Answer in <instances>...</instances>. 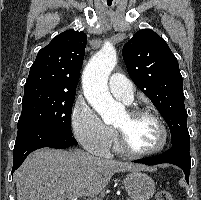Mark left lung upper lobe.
<instances>
[{"instance_id":"5c2ea615","label":"left lung upper lobe","mask_w":201,"mask_h":200,"mask_svg":"<svg viewBox=\"0 0 201 200\" xmlns=\"http://www.w3.org/2000/svg\"><path fill=\"white\" fill-rule=\"evenodd\" d=\"M122 55L133 82L166 120L172 145L189 140L182 75L166 41L142 29L123 46Z\"/></svg>"}]
</instances>
